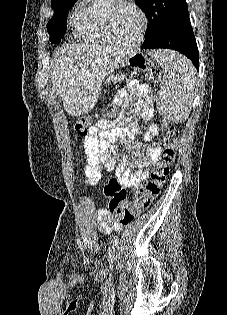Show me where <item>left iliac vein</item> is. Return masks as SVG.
Masks as SVG:
<instances>
[{
  "label": "left iliac vein",
  "mask_w": 227,
  "mask_h": 315,
  "mask_svg": "<svg viewBox=\"0 0 227 315\" xmlns=\"http://www.w3.org/2000/svg\"><path fill=\"white\" fill-rule=\"evenodd\" d=\"M111 252H112V253L115 252V247H114V246L111 248Z\"/></svg>",
  "instance_id": "obj_1"
}]
</instances>
